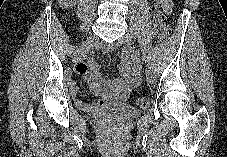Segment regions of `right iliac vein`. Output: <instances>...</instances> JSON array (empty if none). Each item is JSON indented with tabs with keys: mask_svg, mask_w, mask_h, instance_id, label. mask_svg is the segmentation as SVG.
<instances>
[{
	"mask_svg": "<svg viewBox=\"0 0 227 157\" xmlns=\"http://www.w3.org/2000/svg\"><path fill=\"white\" fill-rule=\"evenodd\" d=\"M97 43V37L91 36L76 50L73 57V62H77L82 59V57L90 51L93 46Z\"/></svg>",
	"mask_w": 227,
	"mask_h": 157,
	"instance_id": "right-iliac-vein-1",
	"label": "right iliac vein"
}]
</instances>
